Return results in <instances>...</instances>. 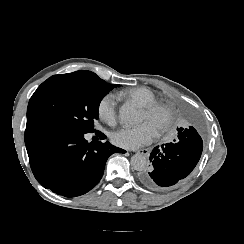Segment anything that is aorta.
Wrapping results in <instances>:
<instances>
[{"label":"aorta","mask_w":244,"mask_h":244,"mask_svg":"<svg viewBox=\"0 0 244 244\" xmlns=\"http://www.w3.org/2000/svg\"><path fill=\"white\" fill-rule=\"evenodd\" d=\"M119 118L126 126H133L139 122V113L137 108L129 103H124L119 109ZM131 167L136 171H142L147 166V158L142 154H135L130 159Z\"/></svg>","instance_id":"1"}]
</instances>
